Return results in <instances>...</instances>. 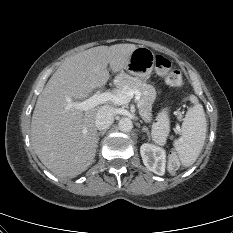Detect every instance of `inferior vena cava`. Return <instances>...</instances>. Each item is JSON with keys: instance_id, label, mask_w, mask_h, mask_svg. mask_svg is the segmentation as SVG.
Returning a JSON list of instances; mask_svg holds the SVG:
<instances>
[{"instance_id": "602c4592", "label": "inferior vena cava", "mask_w": 233, "mask_h": 233, "mask_svg": "<svg viewBox=\"0 0 233 233\" xmlns=\"http://www.w3.org/2000/svg\"><path fill=\"white\" fill-rule=\"evenodd\" d=\"M115 111L110 106H102L96 115L95 125L98 130L108 129L114 121Z\"/></svg>"}]
</instances>
